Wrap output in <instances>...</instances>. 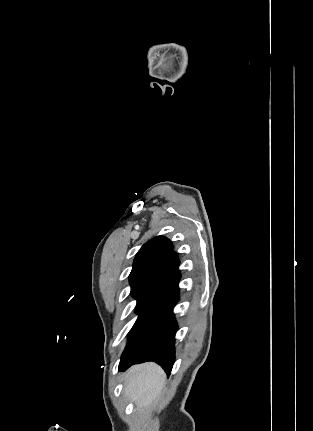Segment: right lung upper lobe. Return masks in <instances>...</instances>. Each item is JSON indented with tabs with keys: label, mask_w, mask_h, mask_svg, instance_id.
I'll use <instances>...</instances> for the list:
<instances>
[{
	"label": "right lung upper lobe",
	"mask_w": 313,
	"mask_h": 431,
	"mask_svg": "<svg viewBox=\"0 0 313 431\" xmlns=\"http://www.w3.org/2000/svg\"><path fill=\"white\" fill-rule=\"evenodd\" d=\"M177 253L163 236L148 241L137 253L129 276L131 294L149 298L178 271Z\"/></svg>",
	"instance_id": "obj_1"
}]
</instances>
